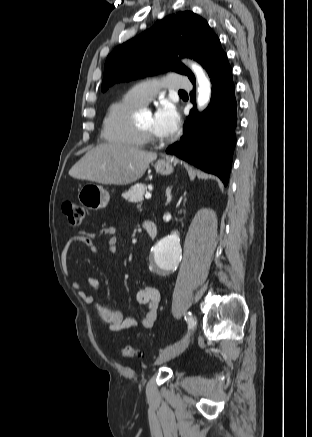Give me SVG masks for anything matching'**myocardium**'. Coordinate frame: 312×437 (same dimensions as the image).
<instances>
[{
  "mask_svg": "<svg viewBox=\"0 0 312 437\" xmlns=\"http://www.w3.org/2000/svg\"><path fill=\"white\" fill-rule=\"evenodd\" d=\"M135 126L137 130L140 132L143 140L145 143H151V144H162L164 141L162 139H159L156 137L151 131L144 129L143 127L139 126L135 123Z\"/></svg>",
  "mask_w": 312,
  "mask_h": 437,
  "instance_id": "1",
  "label": "myocardium"
}]
</instances>
